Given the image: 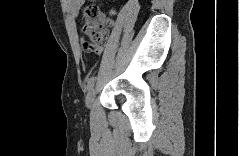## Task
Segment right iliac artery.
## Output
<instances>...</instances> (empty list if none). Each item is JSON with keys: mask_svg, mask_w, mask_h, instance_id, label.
Segmentation results:
<instances>
[{"mask_svg": "<svg viewBox=\"0 0 239 156\" xmlns=\"http://www.w3.org/2000/svg\"><path fill=\"white\" fill-rule=\"evenodd\" d=\"M95 80H96V77H93L91 78L89 81H88V84H87V90L90 91L91 88L93 87L94 83H95Z\"/></svg>", "mask_w": 239, "mask_h": 156, "instance_id": "82829eb1", "label": "right iliac artery"}]
</instances>
